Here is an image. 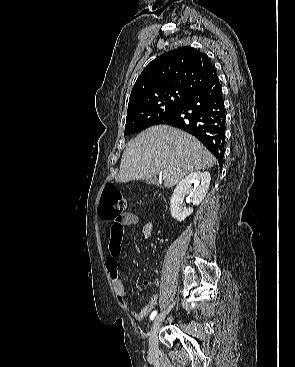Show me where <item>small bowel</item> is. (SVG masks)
<instances>
[{"instance_id": "small-bowel-1", "label": "small bowel", "mask_w": 295, "mask_h": 367, "mask_svg": "<svg viewBox=\"0 0 295 367\" xmlns=\"http://www.w3.org/2000/svg\"><path fill=\"white\" fill-rule=\"evenodd\" d=\"M143 223L142 233L145 238H149L153 229V224L148 221H143L135 212L124 213L118 221H112L109 239V256L106 258L105 265L108 270L113 288L119 302L126 306L129 302V296L123 283L121 273L118 268V256L121 252V243L123 239L124 229L128 226H133ZM158 285L159 280H145L144 286ZM158 295L153 294L149 297L146 304L139 311H131L135 319L144 318L157 304Z\"/></svg>"}]
</instances>
